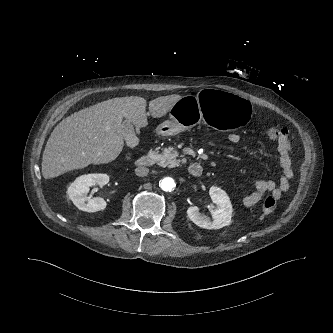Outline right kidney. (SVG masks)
Listing matches in <instances>:
<instances>
[{"mask_svg":"<svg viewBox=\"0 0 333 333\" xmlns=\"http://www.w3.org/2000/svg\"><path fill=\"white\" fill-rule=\"evenodd\" d=\"M109 182L107 174H87L77 177L69 186L67 193L74 205L82 211L96 212L106 207V201L101 197L89 198L90 187L99 185L100 187Z\"/></svg>","mask_w":333,"mask_h":333,"instance_id":"ca27d5eb","label":"right kidney"}]
</instances>
